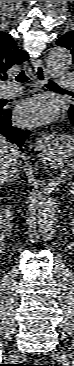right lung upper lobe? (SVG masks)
<instances>
[{"label":"right lung upper lobe","instance_id":"obj_1","mask_svg":"<svg viewBox=\"0 0 74 366\" xmlns=\"http://www.w3.org/2000/svg\"><path fill=\"white\" fill-rule=\"evenodd\" d=\"M28 58L27 52L18 48L11 35L0 31V80L7 76L11 67Z\"/></svg>","mask_w":74,"mask_h":366}]
</instances>
